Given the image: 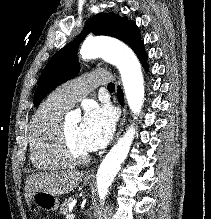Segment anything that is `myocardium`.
<instances>
[{"instance_id": "f54148a6", "label": "myocardium", "mask_w": 211, "mask_h": 219, "mask_svg": "<svg viewBox=\"0 0 211 219\" xmlns=\"http://www.w3.org/2000/svg\"><path fill=\"white\" fill-rule=\"evenodd\" d=\"M57 140L61 154L69 162L79 164L89 160L90 155L88 152L81 153L73 147L64 125L59 124L58 126Z\"/></svg>"}]
</instances>
